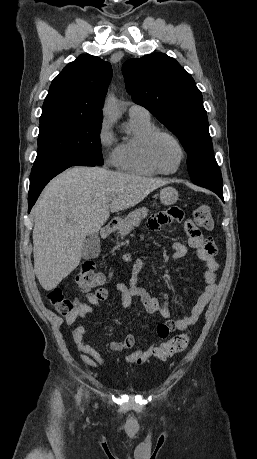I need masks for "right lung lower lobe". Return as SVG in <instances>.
<instances>
[{"label":"right lung lower lobe","mask_w":257,"mask_h":459,"mask_svg":"<svg viewBox=\"0 0 257 459\" xmlns=\"http://www.w3.org/2000/svg\"><path fill=\"white\" fill-rule=\"evenodd\" d=\"M96 164L84 159H62L46 164L34 165L30 176V188L28 193V212L35 204L46 184L56 175L71 166H95Z\"/></svg>","instance_id":"98d812e1"}]
</instances>
